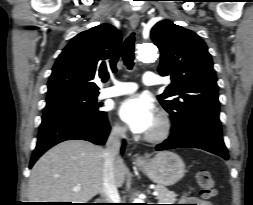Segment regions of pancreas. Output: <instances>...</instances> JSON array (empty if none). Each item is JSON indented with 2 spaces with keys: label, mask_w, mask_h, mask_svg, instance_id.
<instances>
[{
  "label": "pancreas",
  "mask_w": 253,
  "mask_h": 205,
  "mask_svg": "<svg viewBox=\"0 0 253 205\" xmlns=\"http://www.w3.org/2000/svg\"><path fill=\"white\" fill-rule=\"evenodd\" d=\"M155 190L159 193L156 198L160 204H173L176 201L177 194L168 190L165 186L157 185Z\"/></svg>",
  "instance_id": "obj_1"
}]
</instances>
